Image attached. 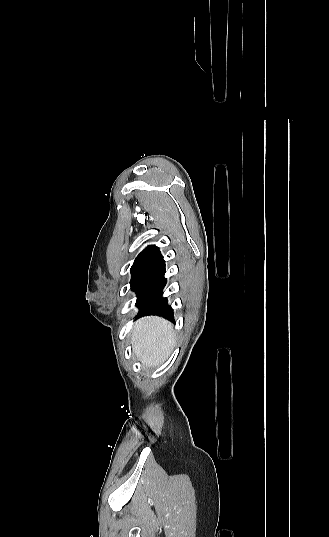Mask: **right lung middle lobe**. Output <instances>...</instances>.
<instances>
[{
	"instance_id": "right-lung-middle-lobe-1",
	"label": "right lung middle lobe",
	"mask_w": 329,
	"mask_h": 537,
	"mask_svg": "<svg viewBox=\"0 0 329 537\" xmlns=\"http://www.w3.org/2000/svg\"><path fill=\"white\" fill-rule=\"evenodd\" d=\"M147 266L148 265L134 264L131 267V274H132L131 282H130L131 286L134 284V282L140 276V274L147 268Z\"/></svg>"
}]
</instances>
